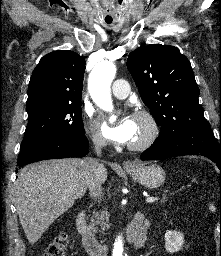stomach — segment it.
Listing matches in <instances>:
<instances>
[{"label":"stomach","mask_w":221,"mask_h":256,"mask_svg":"<svg viewBox=\"0 0 221 256\" xmlns=\"http://www.w3.org/2000/svg\"><path fill=\"white\" fill-rule=\"evenodd\" d=\"M134 180L139 182L144 187L156 189L163 185L165 181L164 170L157 165H136L133 168H126Z\"/></svg>","instance_id":"0dacf381"}]
</instances>
